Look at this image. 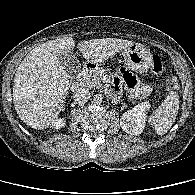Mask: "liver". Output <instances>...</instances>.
<instances>
[{
    "label": "liver",
    "instance_id": "liver-1",
    "mask_svg": "<svg viewBox=\"0 0 195 195\" xmlns=\"http://www.w3.org/2000/svg\"><path fill=\"white\" fill-rule=\"evenodd\" d=\"M134 42L102 38L81 41L77 48L92 64L112 58ZM75 42L71 37L47 41L32 49L17 68L13 85V103L19 118L28 126L43 130L59 117L70 88V76L59 60L71 53Z\"/></svg>",
    "mask_w": 195,
    "mask_h": 195
}]
</instances>
